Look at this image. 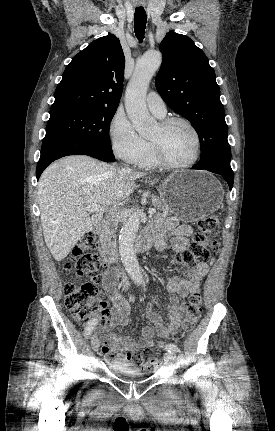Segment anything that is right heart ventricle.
Here are the masks:
<instances>
[{
    "label": "right heart ventricle",
    "mask_w": 275,
    "mask_h": 431,
    "mask_svg": "<svg viewBox=\"0 0 275 431\" xmlns=\"http://www.w3.org/2000/svg\"><path fill=\"white\" fill-rule=\"evenodd\" d=\"M160 118H162V117H160ZM136 164L142 168H155L158 166V163L155 161V159L152 155L150 143H148L147 152L144 154V156Z\"/></svg>",
    "instance_id": "e07e8e85"
}]
</instances>
